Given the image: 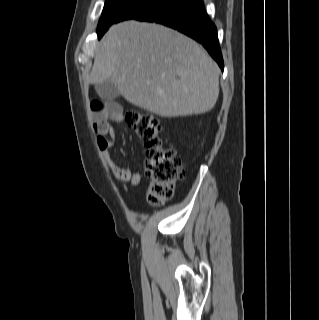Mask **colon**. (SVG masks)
Wrapping results in <instances>:
<instances>
[{"label": "colon", "mask_w": 319, "mask_h": 320, "mask_svg": "<svg viewBox=\"0 0 319 320\" xmlns=\"http://www.w3.org/2000/svg\"><path fill=\"white\" fill-rule=\"evenodd\" d=\"M126 121L145 144V170L150 179L147 198L152 205H159L173 197L176 184L183 179L182 159L175 149L163 145L161 125L154 115L130 110Z\"/></svg>", "instance_id": "5ec220e1"}]
</instances>
